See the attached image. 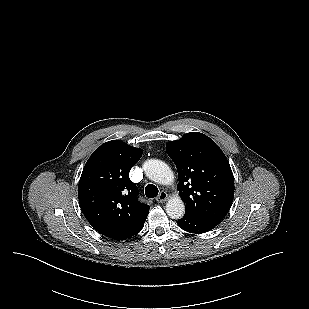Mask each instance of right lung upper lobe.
<instances>
[{"label": "right lung upper lobe", "mask_w": 309, "mask_h": 309, "mask_svg": "<svg viewBox=\"0 0 309 309\" xmlns=\"http://www.w3.org/2000/svg\"><path fill=\"white\" fill-rule=\"evenodd\" d=\"M141 156V149L112 140L97 148L83 169L80 207L92 227L108 238L127 239L143 228L150 206L138 201V189L129 179Z\"/></svg>", "instance_id": "obj_1"}]
</instances>
